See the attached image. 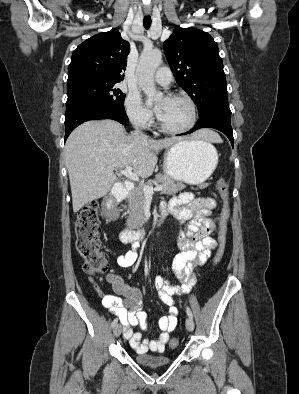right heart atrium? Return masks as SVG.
Instances as JSON below:
<instances>
[{"mask_svg":"<svg viewBox=\"0 0 299 394\" xmlns=\"http://www.w3.org/2000/svg\"><path fill=\"white\" fill-rule=\"evenodd\" d=\"M126 113L131 123L139 128H147L152 123L151 112L142 104L139 95L131 92L125 100Z\"/></svg>","mask_w":299,"mask_h":394,"instance_id":"d8ad5b80","label":"right heart atrium"}]
</instances>
